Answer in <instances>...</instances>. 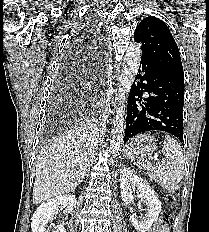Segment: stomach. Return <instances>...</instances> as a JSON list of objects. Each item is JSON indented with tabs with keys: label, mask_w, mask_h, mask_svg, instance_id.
<instances>
[{
	"label": "stomach",
	"mask_w": 209,
	"mask_h": 232,
	"mask_svg": "<svg viewBox=\"0 0 209 232\" xmlns=\"http://www.w3.org/2000/svg\"><path fill=\"white\" fill-rule=\"evenodd\" d=\"M156 148L157 145L152 136L140 134L126 144L124 151L128 157L143 158L154 153Z\"/></svg>",
	"instance_id": "obj_1"
}]
</instances>
